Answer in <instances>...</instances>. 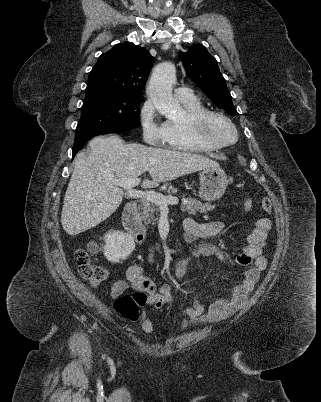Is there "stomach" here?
<instances>
[{
	"label": "stomach",
	"mask_w": 321,
	"mask_h": 402,
	"mask_svg": "<svg viewBox=\"0 0 321 402\" xmlns=\"http://www.w3.org/2000/svg\"><path fill=\"white\" fill-rule=\"evenodd\" d=\"M199 179V197L209 202L221 198L228 184L227 175L220 167L202 169Z\"/></svg>",
	"instance_id": "1"
}]
</instances>
